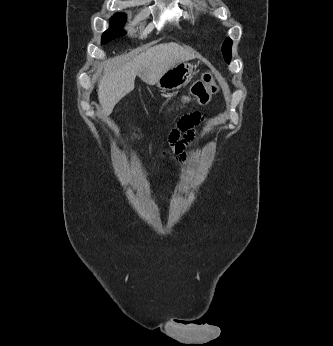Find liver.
Listing matches in <instances>:
<instances>
[{"label":"liver","instance_id":"liver-1","mask_svg":"<svg viewBox=\"0 0 333 346\" xmlns=\"http://www.w3.org/2000/svg\"><path fill=\"white\" fill-rule=\"evenodd\" d=\"M195 57L197 53L191 49L167 43L151 47L131 58L118 57L106 61L104 75L98 85L103 117L109 116L115 105L134 89L136 76L146 84L154 85L172 66Z\"/></svg>","mask_w":333,"mask_h":346}]
</instances>
